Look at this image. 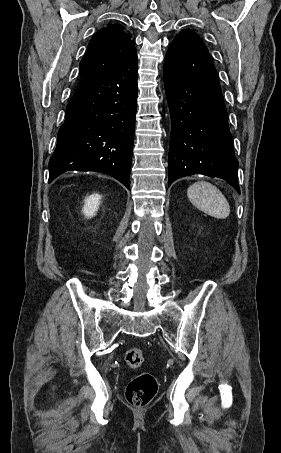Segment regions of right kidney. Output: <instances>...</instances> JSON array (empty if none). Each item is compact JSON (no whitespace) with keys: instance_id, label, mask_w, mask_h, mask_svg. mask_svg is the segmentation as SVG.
<instances>
[{"instance_id":"1","label":"right kidney","mask_w":281,"mask_h":453,"mask_svg":"<svg viewBox=\"0 0 281 453\" xmlns=\"http://www.w3.org/2000/svg\"><path fill=\"white\" fill-rule=\"evenodd\" d=\"M100 198H101V194H98V192H94V194H90V196H86L85 204L82 208V212H84V214H85V216H87V218H90V216H93V214H95L96 210H98L99 204L101 202Z\"/></svg>"}]
</instances>
